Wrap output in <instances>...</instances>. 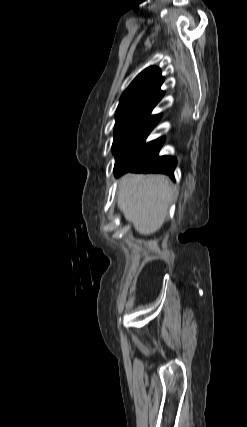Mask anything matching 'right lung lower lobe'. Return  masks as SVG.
<instances>
[{
  "mask_svg": "<svg viewBox=\"0 0 247 427\" xmlns=\"http://www.w3.org/2000/svg\"><path fill=\"white\" fill-rule=\"evenodd\" d=\"M161 115L148 116L127 137L116 153L115 173L153 172L165 173L174 178L177 160L170 156H158L164 138L145 143L146 138L160 120Z\"/></svg>",
  "mask_w": 247,
  "mask_h": 427,
  "instance_id": "1",
  "label": "right lung lower lobe"
}]
</instances>
